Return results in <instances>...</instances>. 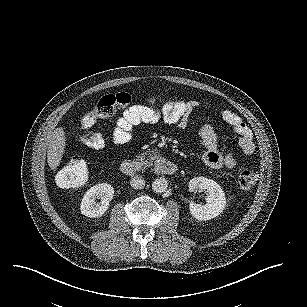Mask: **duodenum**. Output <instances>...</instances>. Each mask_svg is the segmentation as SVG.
<instances>
[{
  "mask_svg": "<svg viewBox=\"0 0 307 307\" xmlns=\"http://www.w3.org/2000/svg\"><path fill=\"white\" fill-rule=\"evenodd\" d=\"M153 170L158 175H172L177 171V166L170 160L159 158ZM121 171L125 175L132 176L137 172V164L132 160H125L121 163Z\"/></svg>",
  "mask_w": 307,
  "mask_h": 307,
  "instance_id": "410a0bca",
  "label": "duodenum"
}]
</instances>
